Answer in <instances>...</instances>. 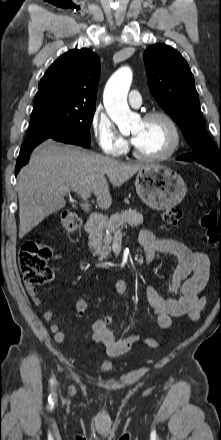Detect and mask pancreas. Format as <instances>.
<instances>
[{
    "label": "pancreas",
    "mask_w": 221,
    "mask_h": 440,
    "mask_svg": "<svg viewBox=\"0 0 221 440\" xmlns=\"http://www.w3.org/2000/svg\"><path fill=\"white\" fill-rule=\"evenodd\" d=\"M142 223V213L136 209H126L117 212L90 234V246L101 251L104 256H108L111 249L110 244L113 240L112 234L119 231L123 226L138 227Z\"/></svg>",
    "instance_id": "cf45deb5"
}]
</instances>
